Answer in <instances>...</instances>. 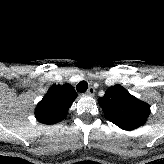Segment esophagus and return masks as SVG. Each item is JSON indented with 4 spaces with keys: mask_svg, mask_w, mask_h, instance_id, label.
Here are the masks:
<instances>
[{
    "mask_svg": "<svg viewBox=\"0 0 164 164\" xmlns=\"http://www.w3.org/2000/svg\"><path fill=\"white\" fill-rule=\"evenodd\" d=\"M88 95H94V93H95V89L91 86V87H89L88 88V90H87V92H86Z\"/></svg>",
    "mask_w": 164,
    "mask_h": 164,
    "instance_id": "1",
    "label": "esophagus"
}]
</instances>
